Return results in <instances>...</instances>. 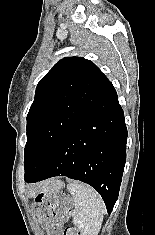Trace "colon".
I'll use <instances>...</instances> for the list:
<instances>
[{"mask_svg": "<svg viewBox=\"0 0 155 235\" xmlns=\"http://www.w3.org/2000/svg\"><path fill=\"white\" fill-rule=\"evenodd\" d=\"M35 201L37 218L47 225L50 235H57L59 227L54 220H61L68 216L72 206L70 199L56 193L41 192ZM63 235H82V233L71 227L67 228Z\"/></svg>", "mask_w": 155, "mask_h": 235, "instance_id": "1", "label": "colon"}]
</instances>
